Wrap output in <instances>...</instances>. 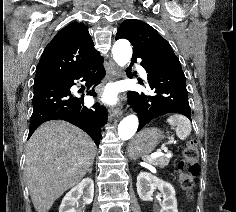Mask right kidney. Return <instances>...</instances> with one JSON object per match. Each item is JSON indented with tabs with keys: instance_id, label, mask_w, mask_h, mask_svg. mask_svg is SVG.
Here are the masks:
<instances>
[{
	"instance_id": "1",
	"label": "right kidney",
	"mask_w": 236,
	"mask_h": 212,
	"mask_svg": "<svg viewBox=\"0 0 236 212\" xmlns=\"http://www.w3.org/2000/svg\"><path fill=\"white\" fill-rule=\"evenodd\" d=\"M81 196L85 204L92 203L94 196V182L89 177L83 179L65 195L59 207V212H81L76 211L75 209V205Z\"/></svg>"
}]
</instances>
